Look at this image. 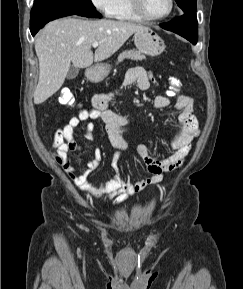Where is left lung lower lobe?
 I'll list each match as a JSON object with an SVG mask.
<instances>
[{
  "label": "left lung lower lobe",
  "mask_w": 243,
  "mask_h": 289,
  "mask_svg": "<svg viewBox=\"0 0 243 289\" xmlns=\"http://www.w3.org/2000/svg\"><path fill=\"white\" fill-rule=\"evenodd\" d=\"M160 27L181 35L194 45L197 43L196 12L185 13L171 22L160 24Z\"/></svg>",
  "instance_id": "left-lung-lower-lobe-1"
}]
</instances>
